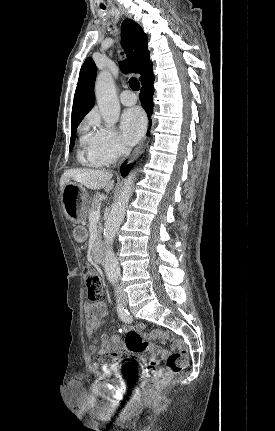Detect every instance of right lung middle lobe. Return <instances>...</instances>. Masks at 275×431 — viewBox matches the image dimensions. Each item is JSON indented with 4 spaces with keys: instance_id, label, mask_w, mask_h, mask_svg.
Instances as JSON below:
<instances>
[{
    "instance_id": "dd1d6c3e",
    "label": "right lung middle lobe",
    "mask_w": 275,
    "mask_h": 431,
    "mask_svg": "<svg viewBox=\"0 0 275 431\" xmlns=\"http://www.w3.org/2000/svg\"><path fill=\"white\" fill-rule=\"evenodd\" d=\"M76 128H77V126L76 127H73V128H71L72 129V135H71V139H70V147H69V151H71L72 150V148H73V146H74V143H75V133H76Z\"/></svg>"
}]
</instances>
